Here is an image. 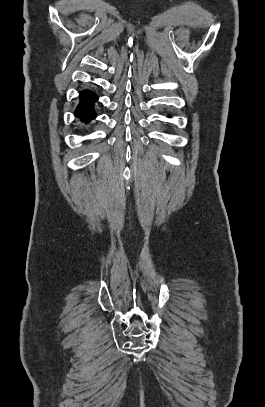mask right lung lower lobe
<instances>
[{
    "instance_id": "98d812e1",
    "label": "right lung lower lobe",
    "mask_w": 265,
    "mask_h": 407,
    "mask_svg": "<svg viewBox=\"0 0 265 407\" xmlns=\"http://www.w3.org/2000/svg\"><path fill=\"white\" fill-rule=\"evenodd\" d=\"M97 99L98 96L92 91L84 90L80 92V103L75 110V116L81 122L88 123L96 117L93 104Z\"/></svg>"
}]
</instances>
